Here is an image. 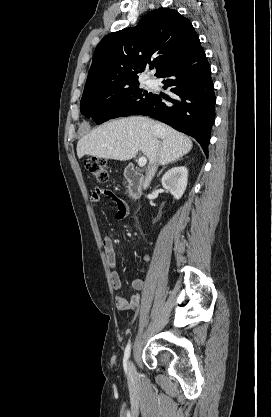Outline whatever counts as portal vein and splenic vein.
<instances>
[{
    "instance_id": "18ae733b",
    "label": "portal vein and splenic vein",
    "mask_w": 272,
    "mask_h": 417,
    "mask_svg": "<svg viewBox=\"0 0 272 417\" xmlns=\"http://www.w3.org/2000/svg\"><path fill=\"white\" fill-rule=\"evenodd\" d=\"M146 163H147L146 157L142 156L138 159V166L139 167H144L146 165Z\"/></svg>"
}]
</instances>
